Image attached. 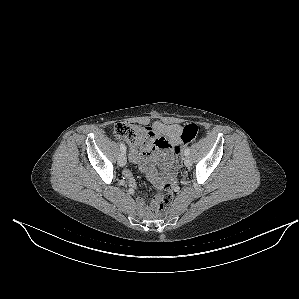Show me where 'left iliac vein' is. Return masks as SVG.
<instances>
[{
	"instance_id": "4c4485c4",
	"label": "left iliac vein",
	"mask_w": 299,
	"mask_h": 299,
	"mask_svg": "<svg viewBox=\"0 0 299 299\" xmlns=\"http://www.w3.org/2000/svg\"><path fill=\"white\" fill-rule=\"evenodd\" d=\"M184 164L187 166V167H190L192 165V160L189 156H186L184 158Z\"/></svg>"
}]
</instances>
